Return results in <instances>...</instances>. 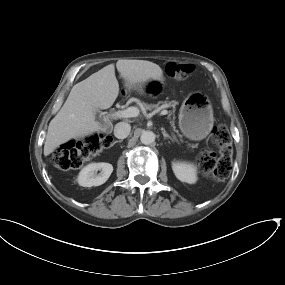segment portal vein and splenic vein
I'll return each instance as SVG.
<instances>
[{"mask_svg":"<svg viewBox=\"0 0 285 285\" xmlns=\"http://www.w3.org/2000/svg\"><path fill=\"white\" fill-rule=\"evenodd\" d=\"M167 111L163 110L160 112V115H166ZM139 115V109L137 107H129L124 110H119L116 111L115 113L112 114L113 119H118V118H130V117H136Z\"/></svg>","mask_w":285,"mask_h":285,"instance_id":"18ae733b","label":"portal vein and splenic vein"}]
</instances>
